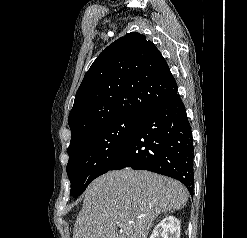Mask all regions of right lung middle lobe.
<instances>
[{"label": "right lung middle lobe", "instance_id": "1", "mask_svg": "<svg viewBox=\"0 0 247 238\" xmlns=\"http://www.w3.org/2000/svg\"><path fill=\"white\" fill-rule=\"evenodd\" d=\"M142 115H124L96 126L71 141L67 174L71 195L79 196L96 177L109 171Z\"/></svg>", "mask_w": 247, "mask_h": 238}]
</instances>
